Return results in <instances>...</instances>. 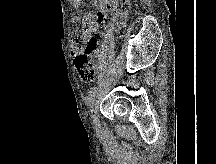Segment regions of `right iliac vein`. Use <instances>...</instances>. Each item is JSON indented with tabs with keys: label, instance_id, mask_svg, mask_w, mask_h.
<instances>
[{
	"label": "right iliac vein",
	"instance_id": "obj_1",
	"mask_svg": "<svg viewBox=\"0 0 216 164\" xmlns=\"http://www.w3.org/2000/svg\"><path fill=\"white\" fill-rule=\"evenodd\" d=\"M92 107H93V112H94V115H93V118H94V123H96V112H97V108H98V103L97 101H93V104H92Z\"/></svg>",
	"mask_w": 216,
	"mask_h": 164
}]
</instances>
